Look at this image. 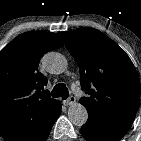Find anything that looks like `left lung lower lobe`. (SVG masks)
I'll return each instance as SVG.
<instances>
[{
    "label": "left lung lower lobe",
    "mask_w": 141,
    "mask_h": 141,
    "mask_svg": "<svg viewBox=\"0 0 141 141\" xmlns=\"http://www.w3.org/2000/svg\"><path fill=\"white\" fill-rule=\"evenodd\" d=\"M131 122H118L89 115L81 134L87 141H118L128 131Z\"/></svg>",
    "instance_id": "obj_1"
}]
</instances>
